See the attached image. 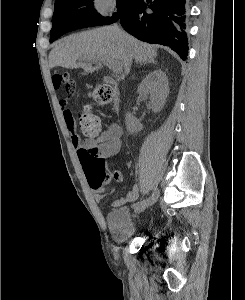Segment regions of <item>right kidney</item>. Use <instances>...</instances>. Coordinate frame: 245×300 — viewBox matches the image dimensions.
I'll return each mask as SVG.
<instances>
[{
    "label": "right kidney",
    "instance_id": "1",
    "mask_svg": "<svg viewBox=\"0 0 245 300\" xmlns=\"http://www.w3.org/2000/svg\"><path fill=\"white\" fill-rule=\"evenodd\" d=\"M138 93L142 97L150 96L149 104L154 112H159L165 105L169 93L168 78L162 70L149 73L140 83ZM127 131L130 134L137 133L142 125L137 122L131 113L126 114Z\"/></svg>",
    "mask_w": 245,
    "mask_h": 300
}]
</instances>
